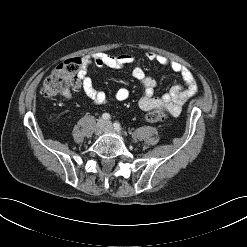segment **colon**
<instances>
[{"mask_svg": "<svg viewBox=\"0 0 247 247\" xmlns=\"http://www.w3.org/2000/svg\"><path fill=\"white\" fill-rule=\"evenodd\" d=\"M80 60L72 58L58 65L46 78L41 88L45 98L64 95L79 85ZM167 118V111L163 107H156L144 115L148 123H158Z\"/></svg>", "mask_w": 247, "mask_h": 247, "instance_id": "obj_1", "label": "colon"}]
</instances>
